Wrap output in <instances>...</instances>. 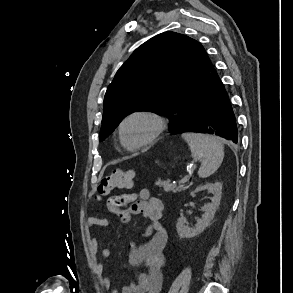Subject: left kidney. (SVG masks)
I'll return each mask as SVG.
<instances>
[{
	"mask_svg": "<svg viewBox=\"0 0 293 293\" xmlns=\"http://www.w3.org/2000/svg\"><path fill=\"white\" fill-rule=\"evenodd\" d=\"M209 190L213 197L211 199V203L205 204L202 207L204 211V215L201 219H197V222L194 227H189L185 224L183 218H178L176 229L180 238H193L203 232V230L210 224L211 220L214 217V214L220 204L221 194H222V183H208L205 185L198 186L190 195H193L200 191Z\"/></svg>",
	"mask_w": 293,
	"mask_h": 293,
	"instance_id": "left-kidney-1",
	"label": "left kidney"
}]
</instances>
